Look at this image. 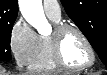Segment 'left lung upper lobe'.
<instances>
[{"instance_id": "1", "label": "left lung upper lobe", "mask_w": 107, "mask_h": 75, "mask_svg": "<svg viewBox=\"0 0 107 75\" xmlns=\"http://www.w3.org/2000/svg\"><path fill=\"white\" fill-rule=\"evenodd\" d=\"M107 67V0H61Z\"/></svg>"}]
</instances>
